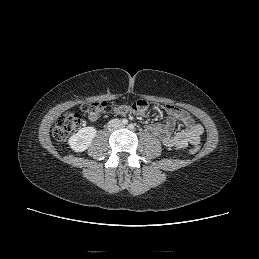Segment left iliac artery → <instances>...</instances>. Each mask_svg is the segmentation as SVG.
Returning <instances> with one entry per match:
<instances>
[{"instance_id":"1","label":"left iliac artery","mask_w":259,"mask_h":259,"mask_svg":"<svg viewBox=\"0 0 259 259\" xmlns=\"http://www.w3.org/2000/svg\"><path fill=\"white\" fill-rule=\"evenodd\" d=\"M129 128L130 129H134V125L133 124H129Z\"/></svg>"}]
</instances>
